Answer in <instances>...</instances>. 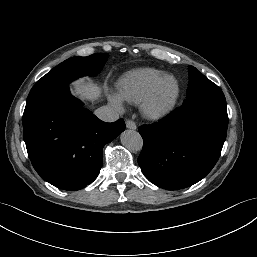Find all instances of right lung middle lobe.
I'll return each instance as SVG.
<instances>
[{"instance_id": "dd1d6c3e", "label": "right lung middle lobe", "mask_w": 257, "mask_h": 257, "mask_svg": "<svg viewBox=\"0 0 257 257\" xmlns=\"http://www.w3.org/2000/svg\"><path fill=\"white\" fill-rule=\"evenodd\" d=\"M108 54L98 53L88 57H72L60 63L40 80L35 85L47 84L63 78L76 79L78 77L94 75L100 72Z\"/></svg>"}]
</instances>
